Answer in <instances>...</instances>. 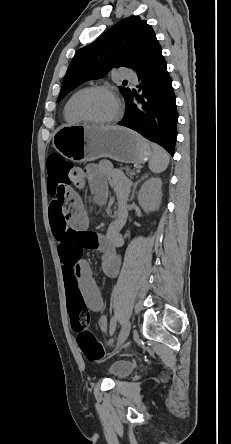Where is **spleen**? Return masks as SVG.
Returning a JSON list of instances; mask_svg holds the SVG:
<instances>
[{
  "instance_id": "spleen-1",
  "label": "spleen",
  "mask_w": 231,
  "mask_h": 444,
  "mask_svg": "<svg viewBox=\"0 0 231 444\" xmlns=\"http://www.w3.org/2000/svg\"><path fill=\"white\" fill-rule=\"evenodd\" d=\"M169 165L168 153L159 145L152 144V156L149 160V168L154 173H161Z\"/></svg>"
}]
</instances>
